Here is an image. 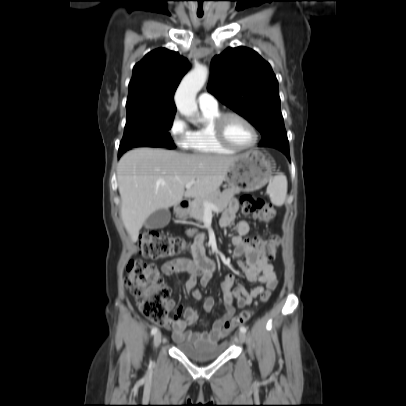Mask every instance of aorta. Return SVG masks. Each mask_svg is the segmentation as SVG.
Instances as JSON below:
<instances>
[{
	"mask_svg": "<svg viewBox=\"0 0 406 406\" xmlns=\"http://www.w3.org/2000/svg\"><path fill=\"white\" fill-rule=\"evenodd\" d=\"M208 75L205 66L198 65L182 79L176 93L175 104L178 111L194 122L193 118L198 112L196 95L204 86Z\"/></svg>",
	"mask_w": 406,
	"mask_h": 406,
	"instance_id": "762f6f07",
	"label": "aorta"
}]
</instances>
